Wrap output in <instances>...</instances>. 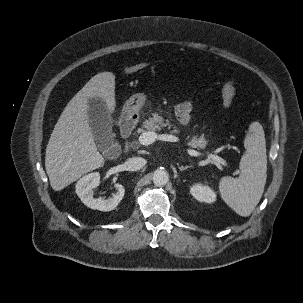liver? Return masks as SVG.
Masks as SVG:
<instances>
[{
  "mask_svg": "<svg viewBox=\"0 0 303 303\" xmlns=\"http://www.w3.org/2000/svg\"><path fill=\"white\" fill-rule=\"evenodd\" d=\"M92 98L102 101L109 115L114 112L115 75L112 72L93 76L70 100L54 127L46 148L45 168L55 191L105 163L89 124L88 103Z\"/></svg>",
  "mask_w": 303,
  "mask_h": 303,
  "instance_id": "6515ba94",
  "label": "liver"
}]
</instances>
